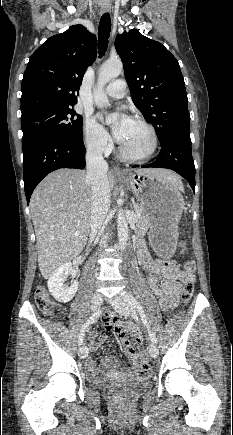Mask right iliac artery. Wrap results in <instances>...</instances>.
<instances>
[{
  "mask_svg": "<svg viewBox=\"0 0 233 435\" xmlns=\"http://www.w3.org/2000/svg\"><path fill=\"white\" fill-rule=\"evenodd\" d=\"M100 313H101L100 310L96 311L94 314H92V316L89 317V319L83 325V327L79 333V337H78V344L79 345H81L83 343L86 329L88 328V326L90 324H92L93 322H95L97 320V318L100 316Z\"/></svg>",
  "mask_w": 233,
  "mask_h": 435,
  "instance_id": "1",
  "label": "right iliac artery"
}]
</instances>
